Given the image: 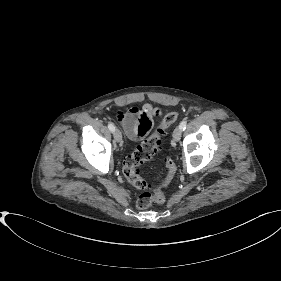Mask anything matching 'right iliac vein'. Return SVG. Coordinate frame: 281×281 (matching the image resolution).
Masks as SVG:
<instances>
[{
	"label": "right iliac vein",
	"instance_id": "right-iliac-vein-1",
	"mask_svg": "<svg viewBox=\"0 0 281 281\" xmlns=\"http://www.w3.org/2000/svg\"><path fill=\"white\" fill-rule=\"evenodd\" d=\"M114 139L117 143H121L122 142V134L120 132V130L116 129L114 131Z\"/></svg>",
	"mask_w": 281,
	"mask_h": 281
}]
</instances>
